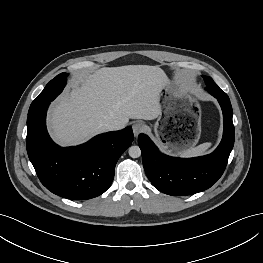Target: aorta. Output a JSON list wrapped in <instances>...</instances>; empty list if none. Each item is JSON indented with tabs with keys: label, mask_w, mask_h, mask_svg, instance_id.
I'll use <instances>...</instances> for the list:
<instances>
[{
	"label": "aorta",
	"mask_w": 263,
	"mask_h": 263,
	"mask_svg": "<svg viewBox=\"0 0 263 263\" xmlns=\"http://www.w3.org/2000/svg\"><path fill=\"white\" fill-rule=\"evenodd\" d=\"M129 156L132 158H138L141 156V149L139 146H130L128 150Z\"/></svg>",
	"instance_id": "obj_1"
}]
</instances>
